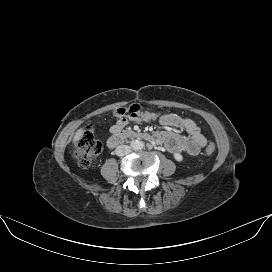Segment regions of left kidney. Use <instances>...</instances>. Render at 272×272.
<instances>
[{
  "mask_svg": "<svg viewBox=\"0 0 272 272\" xmlns=\"http://www.w3.org/2000/svg\"><path fill=\"white\" fill-rule=\"evenodd\" d=\"M174 158L178 162H181L183 160V156L181 154H179V153H175Z\"/></svg>",
  "mask_w": 272,
  "mask_h": 272,
  "instance_id": "obj_1",
  "label": "left kidney"
}]
</instances>
